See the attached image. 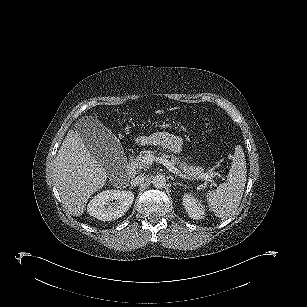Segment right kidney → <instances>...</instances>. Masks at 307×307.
I'll use <instances>...</instances> for the list:
<instances>
[{
    "label": "right kidney",
    "instance_id": "right-kidney-1",
    "mask_svg": "<svg viewBox=\"0 0 307 307\" xmlns=\"http://www.w3.org/2000/svg\"><path fill=\"white\" fill-rule=\"evenodd\" d=\"M133 201L134 194L131 191L105 190L90 200L87 212L101 221H112L122 217Z\"/></svg>",
    "mask_w": 307,
    "mask_h": 307
}]
</instances>
